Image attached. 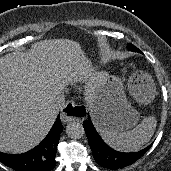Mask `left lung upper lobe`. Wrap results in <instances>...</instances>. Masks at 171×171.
Listing matches in <instances>:
<instances>
[{
	"instance_id": "1",
	"label": "left lung upper lobe",
	"mask_w": 171,
	"mask_h": 171,
	"mask_svg": "<svg viewBox=\"0 0 171 171\" xmlns=\"http://www.w3.org/2000/svg\"><path fill=\"white\" fill-rule=\"evenodd\" d=\"M128 49L134 52H140V50L132 44H128Z\"/></svg>"
}]
</instances>
